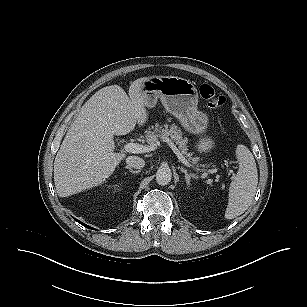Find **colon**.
<instances>
[{"mask_svg": "<svg viewBox=\"0 0 307 307\" xmlns=\"http://www.w3.org/2000/svg\"><path fill=\"white\" fill-rule=\"evenodd\" d=\"M200 95L208 102L209 108L215 111L219 110L226 102V98L217 89L208 84L201 85Z\"/></svg>", "mask_w": 307, "mask_h": 307, "instance_id": "colon-1", "label": "colon"}]
</instances>
